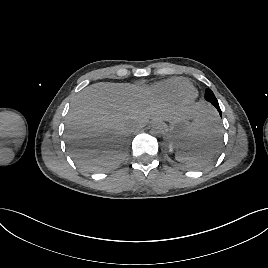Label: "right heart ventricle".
Wrapping results in <instances>:
<instances>
[{"mask_svg":"<svg viewBox=\"0 0 268 268\" xmlns=\"http://www.w3.org/2000/svg\"><path fill=\"white\" fill-rule=\"evenodd\" d=\"M191 88V83L184 78H172L157 85V90L168 97L177 98Z\"/></svg>","mask_w":268,"mask_h":268,"instance_id":"1","label":"right heart ventricle"}]
</instances>
